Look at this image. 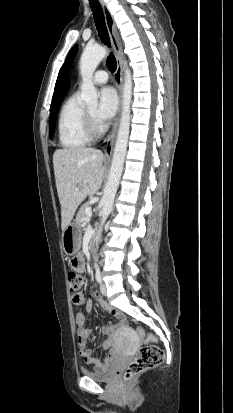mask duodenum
Segmentation results:
<instances>
[{
    "instance_id": "duodenum-1",
    "label": "duodenum",
    "mask_w": 233,
    "mask_h": 413,
    "mask_svg": "<svg viewBox=\"0 0 233 413\" xmlns=\"http://www.w3.org/2000/svg\"><path fill=\"white\" fill-rule=\"evenodd\" d=\"M94 246H95V238L91 237L90 240H89V243H88V248L90 250H92L94 248Z\"/></svg>"
}]
</instances>
